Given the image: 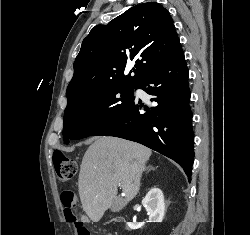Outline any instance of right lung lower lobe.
Segmentation results:
<instances>
[{
    "label": "right lung lower lobe",
    "mask_w": 250,
    "mask_h": 235,
    "mask_svg": "<svg viewBox=\"0 0 250 235\" xmlns=\"http://www.w3.org/2000/svg\"><path fill=\"white\" fill-rule=\"evenodd\" d=\"M189 72L180 41L169 57L136 86L152 95L156 107L131 100L114 119L93 136H115L141 143L176 161L191 180L194 160Z\"/></svg>",
    "instance_id": "obj_1"
}]
</instances>
